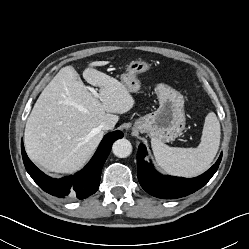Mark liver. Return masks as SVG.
Listing matches in <instances>:
<instances>
[{
  "label": "liver",
  "mask_w": 249,
  "mask_h": 249,
  "mask_svg": "<svg viewBox=\"0 0 249 249\" xmlns=\"http://www.w3.org/2000/svg\"><path fill=\"white\" fill-rule=\"evenodd\" d=\"M108 61H95L83 78L100 87L99 99L87 90L72 66L62 68L44 88L27 119L24 144L29 158L49 172L73 173L92 156L102 137V122L113 128L135 100L125 85L95 69Z\"/></svg>",
  "instance_id": "obj_1"
}]
</instances>
